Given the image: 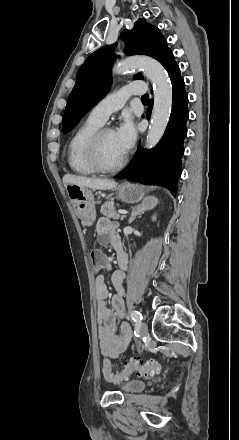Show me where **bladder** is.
<instances>
[{
  "label": "bladder",
  "instance_id": "1",
  "mask_svg": "<svg viewBox=\"0 0 239 440\" xmlns=\"http://www.w3.org/2000/svg\"><path fill=\"white\" fill-rule=\"evenodd\" d=\"M147 387V383L140 379H131L120 385V390L124 393H139Z\"/></svg>",
  "mask_w": 239,
  "mask_h": 440
}]
</instances>
